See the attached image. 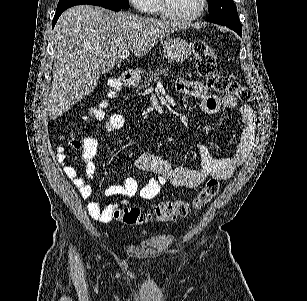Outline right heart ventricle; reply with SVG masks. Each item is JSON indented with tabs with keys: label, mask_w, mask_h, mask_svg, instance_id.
I'll return each instance as SVG.
<instances>
[{
	"label": "right heart ventricle",
	"mask_w": 307,
	"mask_h": 301,
	"mask_svg": "<svg viewBox=\"0 0 307 301\" xmlns=\"http://www.w3.org/2000/svg\"><path fill=\"white\" fill-rule=\"evenodd\" d=\"M153 8H155V1H153Z\"/></svg>",
	"instance_id": "1"
}]
</instances>
